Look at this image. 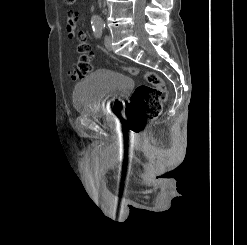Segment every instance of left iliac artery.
<instances>
[{"instance_id":"obj_1","label":"left iliac artery","mask_w":247,"mask_h":245,"mask_svg":"<svg viewBox=\"0 0 247 245\" xmlns=\"http://www.w3.org/2000/svg\"><path fill=\"white\" fill-rule=\"evenodd\" d=\"M102 28L105 27V25H100Z\"/></svg>"}]
</instances>
